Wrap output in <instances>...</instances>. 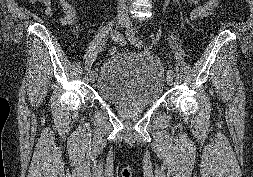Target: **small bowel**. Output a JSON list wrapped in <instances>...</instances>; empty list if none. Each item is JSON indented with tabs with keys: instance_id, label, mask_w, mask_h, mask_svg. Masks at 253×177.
<instances>
[{
	"instance_id": "small-bowel-1",
	"label": "small bowel",
	"mask_w": 253,
	"mask_h": 177,
	"mask_svg": "<svg viewBox=\"0 0 253 177\" xmlns=\"http://www.w3.org/2000/svg\"><path fill=\"white\" fill-rule=\"evenodd\" d=\"M29 3H40L45 8V14L51 15V0H27ZM186 4L192 6L193 9L190 13L192 20H198L212 14L214 9L218 6V0H207L205 3L200 4V0H184ZM60 7L63 15L58 19L60 24L64 26L72 25L77 20V13L75 7L68 0H59ZM79 25L75 26L74 32L78 33Z\"/></svg>"
}]
</instances>
